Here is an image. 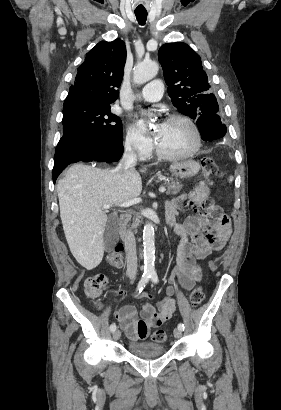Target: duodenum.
<instances>
[{"label": "duodenum", "mask_w": 281, "mask_h": 410, "mask_svg": "<svg viewBox=\"0 0 281 410\" xmlns=\"http://www.w3.org/2000/svg\"><path fill=\"white\" fill-rule=\"evenodd\" d=\"M129 220V215L128 214H122L119 217V226H120V231H121V237L123 240L126 239V231H125V225Z\"/></svg>", "instance_id": "410a0bca"}]
</instances>
